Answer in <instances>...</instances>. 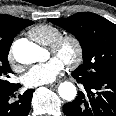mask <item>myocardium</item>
Returning <instances> with one entry per match:
<instances>
[{"label":"myocardium","mask_w":116,"mask_h":116,"mask_svg":"<svg viewBox=\"0 0 116 116\" xmlns=\"http://www.w3.org/2000/svg\"><path fill=\"white\" fill-rule=\"evenodd\" d=\"M67 46H71L72 54L65 58V62L69 66H78L83 60L84 49L80 39L75 35H62L50 45V50L58 55L63 53Z\"/></svg>","instance_id":"obj_1"}]
</instances>
